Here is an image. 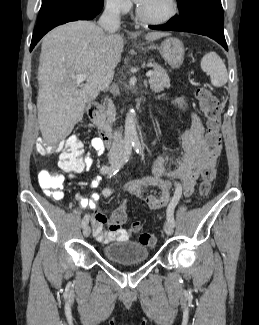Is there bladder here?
Listing matches in <instances>:
<instances>
[{
	"instance_id": "obj_1",
	"label": "bladder",
	"mask_w": 259,
	"mask_h": 325,
	"mask_svg": "<svg viewBox=\"0 0 259 325\" xmlns=\"http://www.w3.org/2000/svg\"><path fill=\"white\" fill-rule=\"evenodd\" d=\"M103 255L113 263L134 264L145 262L149 257V250L142 243L126 240L104 246Z\"/></svg>"
}]
</instances>
